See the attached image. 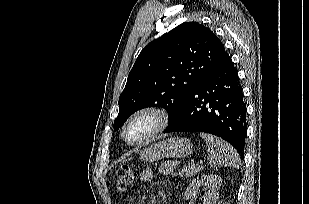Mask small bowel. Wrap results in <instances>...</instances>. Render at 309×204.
<instances>
[{"label":"small bowel","instance_id":"c3829d8e","mask_svg":"<svg viewBox=\"0 0 309 204\" xmlns=\"http://www.w3.org/2000/svg\"><path fill=\"white\" fill-rule=\"evenodd\" d=\"M177 165L175 162H166L162 165V172L164 174L174 175L176 171ZM154 176V171L150 168L145 169L142 174L143 181H150Z\"/></svg>","mask_w":309,"mask_h":204}]
</instances>
